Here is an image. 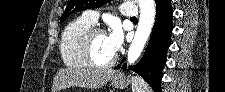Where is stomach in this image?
Instances as JSON below:
<instances>
[{
  "label": "stomach",
  "instance_id": "obj_1",
  "mask_svg": "<svg viewBox=\"0 0 225 92\" xmlns=\"http://www.w3.org/2000/svg\"><path fill=\"white\" fill-rule=\"evenodd\" d=\"M111 85L116 89H124L130 83V78H127L123 73H114L111 76Z\"/></svg>",
  "mask_w": 225,
  "mask_h": 92
}]
</instances>
